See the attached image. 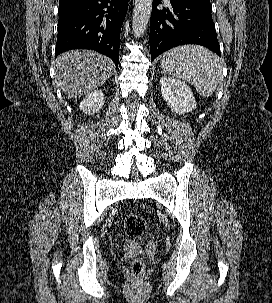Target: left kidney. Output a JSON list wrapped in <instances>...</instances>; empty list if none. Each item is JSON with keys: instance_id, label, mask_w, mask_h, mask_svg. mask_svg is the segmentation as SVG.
I'll use <instances>...</instances> for the list:
<instances>
[{"instance_id": "left-kidney-1", "label": "left kidney", "mask_w": 272, "mask_h": 303, "mask_svg": "<svg viewBox=\"0 0 272 303\" xmlns=\"http://www.w3.org/2000/svg\"><path fill=\"white\" fill-rule=\"evenodd\" d=\"M161 94L172 111L181 115L196 108V101L190 87L183 81L164 76L160 80Z\"/></svg>"}]
</instances>
